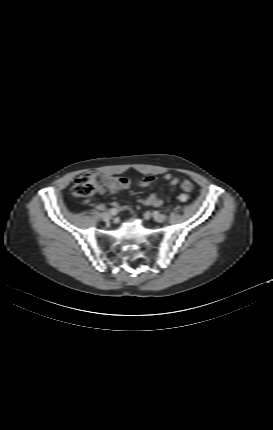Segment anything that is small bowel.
Returning <instances> with one entry per match:
<instances>
[{"mask_svg":"<svg viewBox=\"0 0 273 430\" xmlns=\"http://www.w3.org/2000/svg\"><path fill=\"white\" fill-rule=\"evenodd\" d=\"M94 176L96 177V179L100 180V185L98 186V192L100 194H104L106 191H109L113 194H117L122 191L130 189L134 185V183L129 178H126V177H115L109 174H102V173H94ZM164 179L168 182L170 186H176L180 183V179L171 173H166L164 175ZM154 180H155L154 177L146 176L137 180L135 183L140 187H148L154 182ZM185 181L187 180H184L181 182V187H182V183ZM179 200L184 201L185 196L184 195L180 196ZM138 201L142 205L154 206V207H159L163 203L157 194H151L150 196L146 198H141ZM97 208L101 210L104 208V206L102 204H99ZM114 208L119 211H124L128 209V206L121 203H115Z\"/></svg>","mask_w":273,"mask_h":430,"instance_id":"obj_1","label":"small bowel"}]
</instances>
